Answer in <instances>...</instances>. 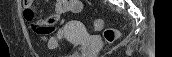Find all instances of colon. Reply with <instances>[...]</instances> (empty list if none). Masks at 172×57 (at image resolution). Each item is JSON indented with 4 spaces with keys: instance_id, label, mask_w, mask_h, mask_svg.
Masks as SVG:
<instances>
[{
    "instance_id": "1",
    "label": "colon",
    "mask_w": 172,
    "mask_h": 57,
    "mask_svg": "<svg viewBox=\"0 0 172 57\" xmlns=\"http://www.w3.org/2000/svg\"><path fill=\"white\" fill-rule=\"evenodd\" d=\"M24 14L28 17L34 16V10L31 7H26L24 10ZM93 28L97 31L103 29V22L101 20H95L93 22ZM104 38L108 43H112L117 38V32L113 28H105L104 29Z\"/></svg>"
}]
</instances>
